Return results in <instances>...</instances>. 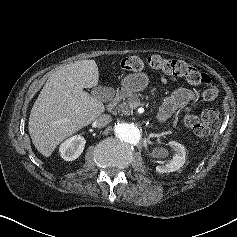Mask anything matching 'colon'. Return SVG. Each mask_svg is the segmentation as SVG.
<instances>
[{
	"mask_svg": "<svg viewBox=\"0 0 237 237\" xmlns=\"http://www.w3.org/2000/svg\"><path fill=\"white\" fill-rule=\"evenodd\" d=\"M146 66L161 70L168 76L185 78L193 85L202 86V98L205 101H213L218 95V89L213 84L211 78L185 61L177 59H166L158 55L150 56L146 59L138 56L124 58L120 67L125 72H137ZM220 119L219 112L214 108L205 109L200 118L195 115H186L184 123L199 136L209 135L218 125Z\"/></svg>",
	"mask_w": 237,
	"mask_h": 237,
	"instance_id": "1",
	"label": "colon"
}]
</instances>
